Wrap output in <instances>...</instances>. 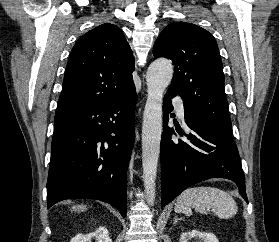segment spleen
<instances>
[{
  "mask_svg": "<svg viewBox=\"0 0 279 242\" xmlns=\"http://www.w3.org/2000/svg\"><path fill=\"white\" fill-rule=\"evenodd\" d=\"M192 208L202 214H207L211 210L223 219L233 217L238 210L235 200L227 192L204 186L188 188L177 198L176 213L191 215Z\"/></svg>",
  "mask_w": 279,
  "mask_h": 242,
  "instance_id": "spleen-1",
  "label": "spleen"
}]
</instances>
